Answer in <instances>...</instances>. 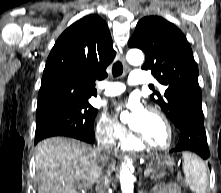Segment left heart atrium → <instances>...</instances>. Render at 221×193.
<instances>
[{
  "instance_id": "obj_1",
  "label": "left heart atrium",
  "mask_w": 221,
  "mask_h": 193,
  "mask_svg": "<svg viewBox=\"0 0 221 193\" xmlns=\"http://www.w3.org/2000/svg\"><path fill=\"white\" fill-rule=\"evenodd\" d=\"M122 109L130 111L132 115L131 124L140 121L147 111L140 100L136 97H130L126 102L117 107V111Z\"/></svg>"
}]
</instances>
